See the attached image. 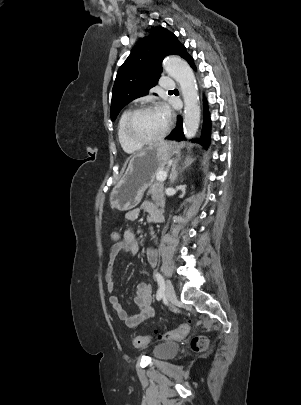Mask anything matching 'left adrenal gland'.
Returning a JSON list of instances; mask_svg holds the SVG:
<instances>
[{"label": "left adrenal gland", "instance_id": "left-adrenal-gland-1", "mask_svg": "<svg viewBox=\"0 0 301 405\" xmlns=\"http://www.w3.org/2000/svg\"><path fill=\"white\" fill-rule=\"evenodd\" d=\"M194 159H190V158H186V162H185V166L182 168V170H184L185 168H187L188 166L191 165V163L193 162ZM181 170V171H182ZM178 171L176 170V162L173 164L172 169H171V174H170V183H174V181L177 179L178 177Z\"/></svg>", "mask_w": 301, "mask_h": 405}]
</instances>
